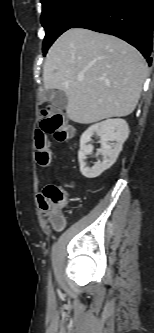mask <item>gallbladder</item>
I'll return each instance as SVG.
<instances>
[{
  "label": "gallbladder",
  "mask_w": 154,
  "mask_h": 333,
  "mask_svg": "<svg viewBox=\"0 0 154 333\" xmlns=\"http://www.w3.org/2000/svg\"><path fill=\"white\" fill-rule=\"evenodd\" d=\"M44 96L50 97L51 104L59 110L65 109V107L67 106L68 98L63 91L44 90Z\"/></svg>",
  "instance_id": "gallbladder-1"
}]
</instances>
